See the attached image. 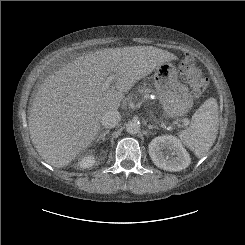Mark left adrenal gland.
<instances>
[{"instance_id": "a2214340", "label": "left adrenal gland", "mask_w": 245, "mask_h": 245, "mask_svg": "<svg viewBox=\"0 0 245 245\" xmlns=\"http://www.w3.org/2000/svg\"><path fill=\"white\" fill-rule=\"evenodd\" d=\"M148 128H149V129H156L157 126H156V125H151V124H149V125H148Z\"/></svg>"}]
</instances>
